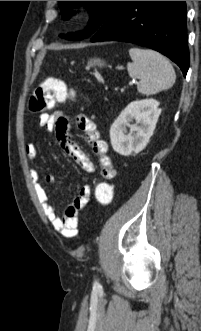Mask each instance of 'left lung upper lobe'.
<instances>
[{
  "mask_svg": "<svg viewBox=\"0 0 201 331\" xmlns=\"http://www.w3.org/2000/svg\"><path fill=\"white\" fill-rule=\"evenodd\" d=\"M120 1H59V6L63 13V18L67 19L72 13V8H77L82 4L93 8L92 17L89 20L88 27L83 32L76 34L69 33L61 35L70 40H82L93 35L113 13Z\"/></svg>",
  "mask_w": 201,
  "mask_h": 331,
  "instance_id": "left-lung-upper-lobe-1",
  "label": "left lung upper lobe"
}]
</instances>
